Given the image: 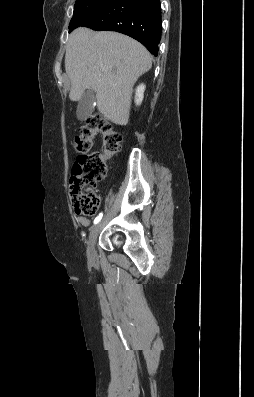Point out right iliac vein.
I'll list each match as a JSON object with an SVG mask.
<instances>
[{
  "label": "right iliac vein",
  "instance_id": "obj_1",
  "mask_svg": "<svg viewBox=\"0 0 254 397\" xmlns=\"http://www.w3.org/2000/svg\"><path fill=\"white\" fill-rule=\"evenodd\" d=\"M101 229V222L97 223L92 229L89 234V239H88V246H87V255L90 259L95 258L96 251H95V242L97 239V236L99 234V231Z\"/></svg>",
  "mask_w": 254,
  "mask_h": 397
}]
</instances>
